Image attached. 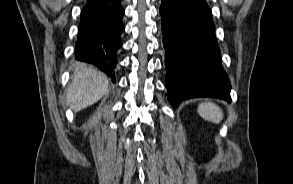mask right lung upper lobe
<instances>
[{
	"label": "right lung upper lobe",
	"mask_w": 293,
	"mask_h": 184,
	"mask_svg": "<svg viewBox=\"0 0 293 184\" xmlns=\"http://www.w3.org/2000/svg\"><path fill=\"white\" fill-rule=\"evenodd\" d=\"M109 0H88L89 3H106Z\"/></svg>",
	"instance_id": "cb5924a9"
}]
</instances>
